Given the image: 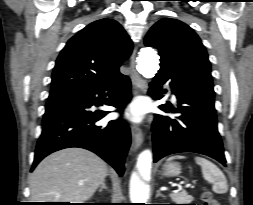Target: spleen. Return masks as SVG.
I'll return each instance as SVG.
<instances>
[{"instance_id":"1","label":"spleen","mask_w":253,"mask_h":205,"mask_svg":"<svg viewBox=\"0 0 253 205\" xmlns=\"http://www.w3.org/2000/svg\"><path fill=\"white\" fill-rule=\"evenodd\" d=\"M184 156H172L168 160L172 159H183ZM195 162L201 166L202 175L205 180L211 183L212 190L215 193H226L228 191L227 180L223 172L211 161L202 158V157H195Z\"/></svg>"}]
</instances>
